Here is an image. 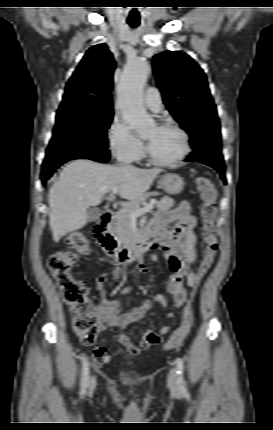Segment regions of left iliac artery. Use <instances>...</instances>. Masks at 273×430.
I'll return each instance as SVG.
<instances>
[{
	"label": "left iliac artery",
	"instance_id": "obj_1",
	"mask_svg": "<svg viewBox=\"0 0 273 430\" xmlns=\"http://www.w3.org/2000/svg\"><path fill=\"white\" fill-rule=\"evenodd\" d=\"M176 365H177V374L179 376V383L183 384L184 383V377H183V373H184V362L182 358H177L176 359Z\"/></svg>",
	"mask_w": 273,
	"mask_h": 430
}]
</instances>
